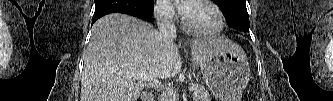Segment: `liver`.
Here are the masks:
<instances>
[{"mask_svg": "<svg viewBox=\"0 0 333 101\" xmlns=\"http://www.w3.org/2000/svg\"><path fill=\"white\" fill-rule=\"evenodd\" d=\"M194 66L207 58V40L195 39ZM179 47H165L159 32L141 19L109 14L92 28L81 79V101H137L149 82L132 74L167 79L180 73ZM138 81V82H136Z\"/></svg>", "mask_w": 333, "mask_h": 101, "instance_id": "obj_1", "label": "liver"}]
</instances>
